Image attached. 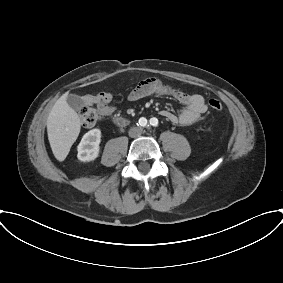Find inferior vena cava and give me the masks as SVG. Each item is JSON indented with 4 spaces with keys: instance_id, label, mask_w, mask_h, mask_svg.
Instances as JSON below:
<instances>
[{
    "instance_id": "inferior-vena-cava-1",
    "label": "inferior vena cava",
    "mask_w": 283,
    "mask_h": 283,
    "mask_svg": "<svg viewBox=\"0 0 283 283\" xmlns=\"http://www.w3.org/2000/svg\"><path fill=\"white\" fill-rule=\"evenodd\" d=\"M141 132H142V129L140 127H132L129 130V136L135 137V136L139 135Z\"/></svg>"
}]
</instances>
